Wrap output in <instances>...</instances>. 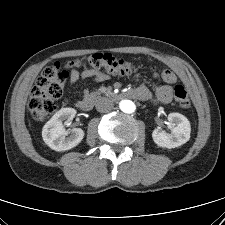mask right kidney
I'll return each mask as SVG.
<instances>
[{
	"label": "right kidney",
	"mask_w": 225,
	"mask_h": 225,
	"mask_svg": "<svg viewBox=\"0 0 225 225\" xmlns=\"http://www.w3.org/2000/svg\"><path fill=\"white\" fill-rule=\"evenodd\" d=\"M75 115V109L62 108L44 125L42 137L51 149L55 151L70 150L82 141L84 137V131L82 129L74 128L71 131H67L63 126V121H70Z\"/></svg>",
	"instance_id": "1"
}]
</instances>
